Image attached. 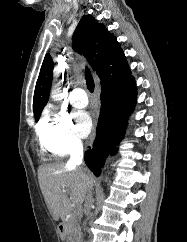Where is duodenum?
Segmentation results:
<instances>
[{
  "label": "duodenum",
  "mask_w": 187,
  "mask_h": 242,
  "mask_svg": "<svg viewBox=\"0 0 187 242\" xmlns=\"http://www.w3.org/2000/svg\"><path fill=\"white\" fill-rule=\"evenodd\" d=\"M58 232L61 237L65 236V234H66V223L65 222H61L58 224Z\"/></svg>",
  "instance_id": "1"
}]
</instances>
